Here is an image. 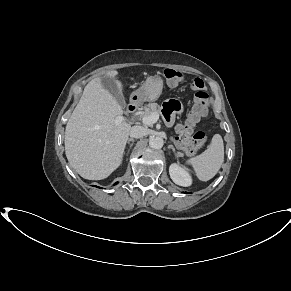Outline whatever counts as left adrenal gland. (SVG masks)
<instances>
[{"label": "left adrenal gland", "mask_w": 291, "mask_h": 291, "mask_svg": "<svg viewBox=\"0 0 291 291\" xmlns=\"http://www.w3.org/2000/svg\"><path fill=\"white\" fill-rule=\"evenodd\" d=\"M168 149H172V151L175 153L176 156H181V153L176 152V150H175L173 145H168Z\"/></svg>", "instance_id": "obj_1"}]
</instances>
